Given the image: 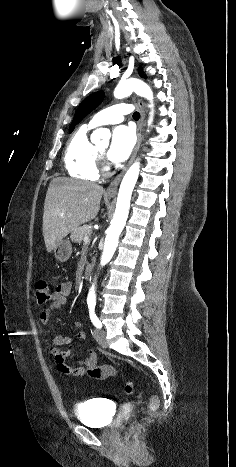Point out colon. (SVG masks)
<instances>
[{"mask_svg": "<svg viewBox=\"0 0 236 467\" xmlns=\"http://www.w3.org/2000/svg\"><path fill=\"white\" fill-rule=\"evenodd\" d=\"M35 297H36V301H37V304L40 305V306H43L45 305L51 298V290H50V286L48 284L47 281L45 280H40L36 283L35 285ZM105 373V372H103ZM123 392L124 394H127V395H130L134 392V384L132 382H128L125 386H124V389H123ZM158 405V398L157 397H152L151 400H150V403H149V408L150 410H154L156 409ZM135 428V426H133L131 429ZM131 434V430H128L126 432V440L129 441L130 440V435Z\"/></svg>", "mask_w": 236, "mask_h": 467, "instance_id": "5ec220e1", "label": "colon"}]
</instances>
